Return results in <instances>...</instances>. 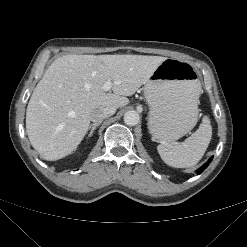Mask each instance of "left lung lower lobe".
<instances>
[{"label":"left lung lower lobe","mask_w":247,"mask_h":247,"mask_svg":"<svg viewBox=\"0 0 247 247\" xmlns=\"http://www.w3.org/2000/svg\"><path fill=\"white\" fill-rule=\"evenodd\" d=\"M212 159H213V157H211V158L208 160L207 163H205L202 167H200V168L197 170V172H198L199 174L202 173L203 170H204L206 167H208V165H209V163L212 161Z\"/></svg>","instance_id":"obj_1"}]
</instances>
